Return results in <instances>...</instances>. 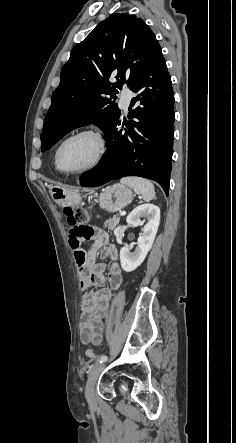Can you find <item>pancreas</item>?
<instances>
[{
	"instance_id": "obj_1",
	"label": "pancreas",
	"mask_w": 236,
	"mask_h": 443,
	"mask_svg": "<svg viewBox=\"0 0 236 443\" xmlns=\"http://www.w3.org/2000/svg\"><path fill=\"white\" fill-rule=\"evenodd\" d=\"M119 222H120V217L113 216L111 219L106 220L104 222V226L107 227L109 230H114Z\"/></svg>"
}]
</instances>
